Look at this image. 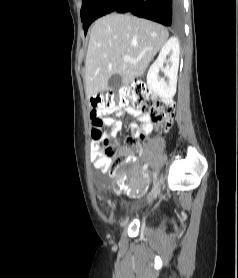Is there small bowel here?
<instances>
[{
  "label": "small bowel",
  "instance_id": "small-bowel-1",
  "mask_svg": "<svg viewBox=\"0 0 238 278\" xmlns=\"http://www.w3.org/2000/svg\"><path fill=\"white\" fill-rule=\"evenodd\" d=\"M130 114L137 116L139 124L132 122L130 124V128L133 132V136L135 138L139 137L140 134H148L152 130L151 118L148 114L145 113H137L132 110H129ZM102 118V126L110 127L112 132L106 135H102L101 139H94V144L91 152V160L96 169L105 171L107 170L110 161L104 156L103 150L99 146V141L104 140L106 143H111V141L115 138L116 132L121 127V122L117 119L118 117H122L125 115V112L120 109H113L104 111ZM116 144V143H115ZM128 155L130 160H134L135 157L131 155L128 151H124ZM124 183L119 181L116 186V191L120 192L123 190Z\"/></svg>",
  "mask_w": 238,
  "mask_h": 278
}]
</instances>
